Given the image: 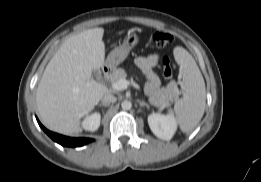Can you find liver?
<instances>
[{
	"instance_id": "1",
	"label": "liver",
	"mask_w": 261,
	"mask_h": 182,
	"mask_svg": "<svg viewBox=\"0 0 261 182\" xmlns=\"http://www.w3.org/2000/svg\"><path fill=\"white\" fill-rule=\"evenodd\" d=\"M103 34V28H93L68 38L47 64L36 103L48 129L63 134L81 132V118L109 93L92 78V72L105 64Z\"/></svg>"
}]
</instances>
